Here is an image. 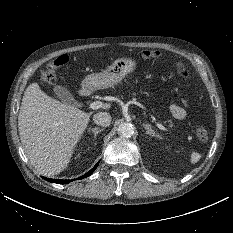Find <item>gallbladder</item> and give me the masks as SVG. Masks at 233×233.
Masks as SVG:
<instances>
[{
  "label": "gallbladder",
  "mask_w": 233,
  "mask_h": 233,
  "mask_svg": "<svg viewBox=\"0 0 233 233\" xmlns=\"http://www.w3.org/2000/svg\"><path fill=\"white\" fill-rule=\"evenodd\" d=\"M53 91L58 99H60L63 103L76 106L77 101L74 99L73 95L63 86L56 85L53 88Z\"/></svg>",
  "instance_id": "1"
}]
</instances>
